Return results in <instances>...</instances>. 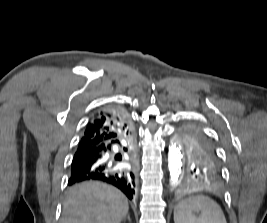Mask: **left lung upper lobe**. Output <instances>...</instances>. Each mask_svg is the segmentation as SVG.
<instances>
[{
  "label": "left lung upper lobe",
  "mask_w": 267,
  "mask_h": 223,
  "mask_svg": "<svg viewBox=\"0 0 267 223\" xmlns=\"http://www.w3.org/2000/svg\"><path fill=\"white\" fill-rule=\"evenodd\" d=\"M180 145L185 171H220L214 146L199 129L184 128Z\"/></svg>",
  "instance_id": "1"
}]
</instances>
